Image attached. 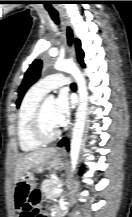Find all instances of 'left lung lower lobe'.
<instances>
[{
    "label": "left lung lower lobe",
    "mask_w": 132,
    "mask_h": 217,
    "mask_svg": "<svg viewBox=\"0 0 132 217\" xmlns=\"http://www.w3.org/2000/svg\"><path fill=\"white\" fill-rule=\"evenodd\" d=\"M64 142H65V139H63V140L59 143V146H63V145H64Z\"/></svg>",
    "instance_id": "left-lung-lower-lobe-1"
}]
</instances>
